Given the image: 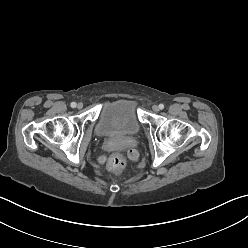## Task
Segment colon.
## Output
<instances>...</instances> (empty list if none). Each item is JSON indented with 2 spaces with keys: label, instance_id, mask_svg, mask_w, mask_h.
I'll return each mask as SVG.
<instances>
[{
  "label": "colon",
  "instance_id": "obj_1",
  "mask_svg": "<svg viewBox=\"0 0 248 248\" xmlns=\"http://www.w3.org/2000/svg\"><path fill=\"white\" fill-rule=\"evenodd\" d=\"M96 163L99 166L106 165L107 163L106 156L104 155L97 156ZM124 165H125V157L119 152H115L111 154L107 163L108 170L113 174H119L124 168Z\"/></svg>",
  "mask_w": 248,
  "mask_h": 248
}]
</instances>
